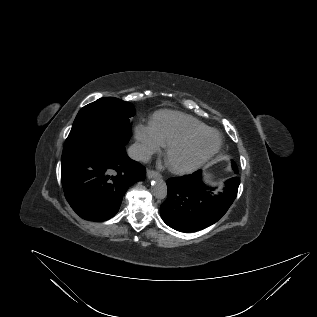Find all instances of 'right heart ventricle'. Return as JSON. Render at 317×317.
Returning <instances> with one entry per match:
<instances>
[{
  "instance_id": "right-heart-ventricle-1",
  "label": "right heart ventricle",
  "mask_w": 317,
  "mask_h": 317,
  "mask_svg": "<svg viewBox=\"0 0 317 317\" xmlns=\"http://www.w3.org/2000/svg\"><path fill=\"white\" fill-rule=\"evenodd\" d=\"M151 130L162 147L181 135L207 128L196 118L177 111L163 110L155 112L150 118Z\"/></svg>"
}]
</instances>
